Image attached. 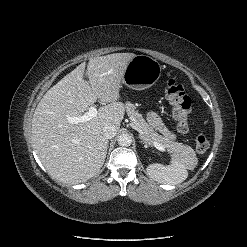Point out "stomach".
Returning a JSON list of instances; mask_svg holds the SVG:
<instances>
[{"instance_id": "obj_1", "label": "stomach", "mask_w": 247, "mask_h": 247, "mask_svg": "<svg viewBox=\"0 0 247 247\" xmlns=\"http://www.w3.org/2000/svg\"><path fill=\"white\" fill-rule=\"evenodd\" d=\"M161 69L156 59L146 55H136L129 61L122 83L133 90H145L159 80Z\"/></svg>"}]
</instances>
